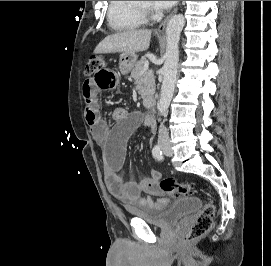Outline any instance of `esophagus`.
I'll return each instance as SVG.
<instances>
[{"mask_svg":"<svg viewBox=\"0 0 271 266\" xmlns=\"http://www.w3.org/2000/svg\"><path fill=\"white\" fill-rule=\"evenodd\" d=\"M178 8L176 7L165 19L164 21L159 25L158 32H163L165 30L166 24L169 21V19L177 12Z\"/></svg>","mask_w":271,"mask_h":266,"instance_id":"esophagus-1","label":"esophagus"}]
</instances>
